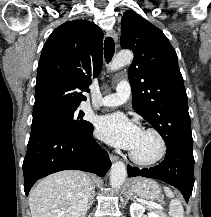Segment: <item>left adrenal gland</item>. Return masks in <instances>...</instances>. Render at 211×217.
Listing matches in <instances>:
<instances>
[{"label": "left adrenal gland", "instance_id": "1", "mask_svg": "<svg viewBox=\"0 0 211 217\" xmlns=\"http://www.w3.org/2000/svg\"><path fill=\"white\" fill-rule=\"evenodd\" d=\"M130 199L133 200V201H135V199L132 196V193L129 191L128 195H127V200H130Z\"/></svg>", "mask_w": 211, "mask_h": 217}]
</instances>
